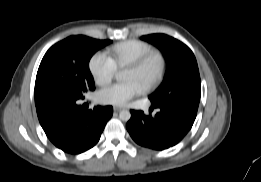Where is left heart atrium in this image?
Wrapping results in <instances>:
<instances>
[{
	"instance_id": "obj_1",
	"label": "left heart atrium",
	"mask_w": 261,
	"mask_h": 182,
	"mask_svg": "<svg viewBox=\"0 0 261 182\" xmlns=\"http://www.w3.org/2000/svg\"><path fill=\"white\" fill-rule=\"evenodd\" d=\"M142 91L143 87L140 84L129 81L103 88L98 92L97 99L102 104L124 106Z\"/></svg>"
}]
</instances>
